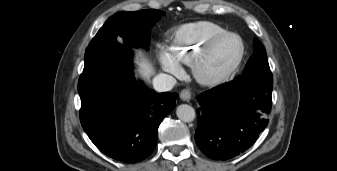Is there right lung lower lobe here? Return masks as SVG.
I'll return each instance as SVG.
<instances>
[{
	"label": "right lung lower lobe",
	"mask_w": 337,
	"mask_h": 171,
	"mask_svg": "<svg viewBox=\"0 0 337 171\" xmlns=\"http://www.w3.org/2000/svg\"><path fill=\"white\" fill-rule=\"evenodd\" d=\"M131 57L126 45L102 47L85 58L78 82L84 131L102 153L126 163L153 152L158 127L179 97L137 82Z\"/></svg>",
	"instance_id": "right-lung-lower-lobe-1"
}]
</instances>
